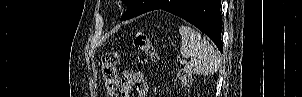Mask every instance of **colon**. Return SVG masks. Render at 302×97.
<instances>
[{
  "mask_svg": "<svg viewBox=\"0 0 302 97\" xmlns=\"http://www.w3.org/2000/svg\"><path fill=\"white\" fill-rule=\"evenodd\" d=\"M134 44L138 50L143 52L153 61L158 60V54L152 42L143 31H138L134 37ZM119 62V54L117 52H106L101 58V70L104 80L105 91L112 96L118 88L117 64ZM179 82L182 85L191 83L190 76L185 72L178 73Z\"/></svg>",
  "mask_w": 302,
  "mask_h": 97,
  "instance_id": "obj_1",
  "label": "colon"
}]
</instances>
